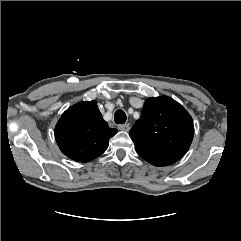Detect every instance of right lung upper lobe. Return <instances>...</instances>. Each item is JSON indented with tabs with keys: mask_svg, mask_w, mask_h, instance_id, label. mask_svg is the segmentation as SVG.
I'll use <instances>...</instances> for the list:
<instances>
[{
	"mask_svg": "<svg viewBox=\"0 0 241 241\" xmlns=\"http://www.w3.org/2000/svg\"><path fill=\"white\" fill-rule=\"evenodd\" d=\"M117 129L109 128L95 101L77 103L67 109L55 127V139L62 151L77 162L91 161L105 152Z\"/></svg>",
	"mask_w": 241,
	"mask_h": 241,
	"instance_id": "1",
	"label": "right lung upper lobe"
}]
</instances>
